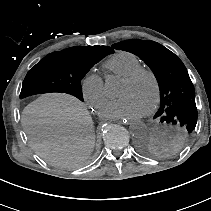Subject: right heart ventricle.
<instances>
[{
	"mask_svg": "<svg viewBox=\"0 0 211 211\" xmlns=\"http://www.w3.org/2000/svg\"><path fill=\"white\" fill-rule=\"evenodd\" d=\"M142 66L143 64L140 58L127 51H119L115 53L104 63V68L108 72L119 77H125Z\"/></svg>",
	"mask_w": 211,
	"mask_h": 211,
	"instance_id": "1",
	"label": "right heart ventricle"
}]
</instances>
